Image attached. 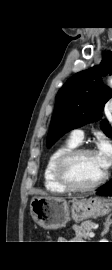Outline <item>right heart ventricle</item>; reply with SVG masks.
Wrapping results in <instances>:
<instances>
[{
    "label": "right heart ventricle",
    "instance_id": "right-heart-ventricle-1",
    "mask_svg": "<svg viewBox=\"0 0 112 270\" xmlns=\"http://www.w3.org/2000/svg\"><path fill=\"white\" fill-rule=\"evenodd\" d=\"M79 143L69 138L61 145L57 146L49 155L44 170L43 182L47 191L54 194H64L67 192L57 181L55 176V165L58 158L68 150L76 148Z\"/></svg>",
    "mask_w": 112,
    "mask_h": 270
}]
</instances>
